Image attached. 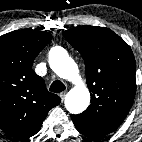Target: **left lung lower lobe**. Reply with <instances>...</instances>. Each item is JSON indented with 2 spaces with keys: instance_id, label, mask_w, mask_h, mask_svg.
Wrapping results in <instances>:
<instances>
[{
  "instance_id": "left-lung-lower-lobe-1",
  "label": "left lung lower lobe",
  "mask_w": 142,
  "mask_h": 142,
  "mask_svg": "<svg viewBox=\"0 0 142 142\" xmlns=\"http://www.w3.org/2000/svg\"><path fill=\"white\" fill-rule=\"evenodd\" d=\"M77 130H78L81 134L87 136L88 138L95 139V138H93L90 134L84 132L83 130H81V129H79V128H77Z\"/></svg>"
}]
</instances>
